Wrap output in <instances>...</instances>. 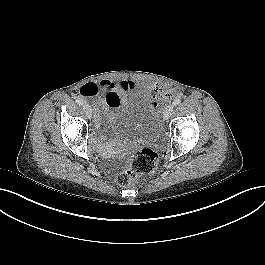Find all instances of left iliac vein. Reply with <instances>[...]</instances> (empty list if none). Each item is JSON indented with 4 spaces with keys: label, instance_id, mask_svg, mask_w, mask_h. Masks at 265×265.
<instances>
[{
    "label": "left iliac vein",
    "instance_id": "4c4485c4",
    "mask_svg": "<svg viewBox=\"0 0 265 265\" xmlns=\"http://www.w3.org/2000/svg\"><path fill=\"white\" fill-rule=\"evenodd\" d=\"M173 113V105H169L165 108L164 112H163V118L164 120H168L169 117L172 115Z\"/></svg>",
    "mask_w": 265,
    "mask_h": 265
}]
</instances>
